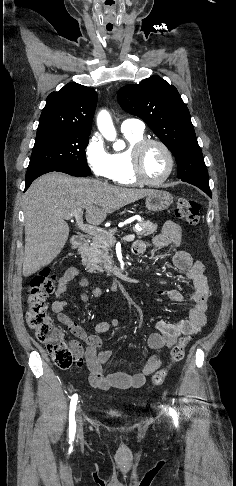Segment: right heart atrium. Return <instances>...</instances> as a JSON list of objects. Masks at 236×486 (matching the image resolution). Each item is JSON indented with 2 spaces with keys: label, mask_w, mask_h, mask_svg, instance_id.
I'll return each instance as SVG.
<instances>
[{
  "label": "right heart atrium",
  "mask_w": 236,
  "mask_h": 486,
  "mask_svg": "<svg viewBox=\"0 0 236 486\" xmlns=\"http://www.w3.org/2000/svg\"><path fill=\"white\" fill-rule=\"evenodd\" d=\"M85 159L92 172L99 178L111 179V154L107 151L102 138L93 134L85 146Z\"/></svg>",
  "instance_id": "1"
}]
</instances>
